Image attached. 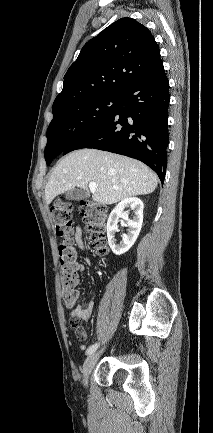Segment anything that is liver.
<instances>
[{"label": "liver", "mask_w": 213, "mask_h": 433, "mask_svg": "<svg viewBox=\"0 0 213 433\" xmlns=\"http://www.w3.org/2000/svg\"><path fill=\"white\" fill-rule=\"evenodd\" d=\"M92 192L95 202L114 204L126 198L152 193L158 184L157 175L144 163L123 155L96 149H80L65 156L51 174L45 199L50 204L59 194L75 187Z\"/></svg>", "instance_id": "6515ba94"}]
</instances>
